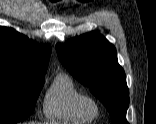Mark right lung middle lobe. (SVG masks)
Segmentation results:
<instances>
[{
	"label": "right lung middle lobe",
	"instance_id": "dd1d6c3e",
	"mask_svg": "<svg viewBox=\"0 0 156 124\" xmlns=\"http://www.w3.org/2000/svg\"><path fill=\"white\" fill-rule=\"evenodd\" d=\"M43 85L44 75L0 70V123H17L29 117Z\"/></svg>",
	"mask_w": 156,
	"mask_h": 124
}]
</instances>
